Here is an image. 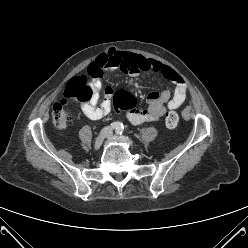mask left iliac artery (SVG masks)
<instances>
[{
  "instance_id": "1",
  "label": "left iliac artery",
  "mask_w": 248,
  "mask_h": 248,
  "mask_svg": "<svg viewBox=\"0 0 248 248\" xmlns=\"http://www.w3.org/2000/svg\"><path fill=\"white\" fill-rule=\"evenodd\" d=\"M123 130H124V126L122 125L117 131H116V134L117 135H121L123 133Z\"/></svg>"
}]
</instances>
